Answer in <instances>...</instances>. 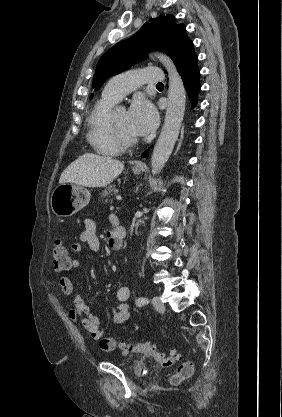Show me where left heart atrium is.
Here are the masks:
<instances>
[{
    "instance_id": "left-heart-atrium-1",
    "label": "left heart atrium",
    "mask_w": 282,
    "mask_h": 417,
    "mask_svg": "<svg viewBox=\"0 0 282 417\" xmlns=\"http://www.w3.org/2000/svg\"><path fill=\"white\" fill-rule=\"evenodd\" d=\"M158 115L155 108L146 100L133 103L127 114V125L135 136L150 133L157 124Z\"/></svg>"
}]
</instances>
